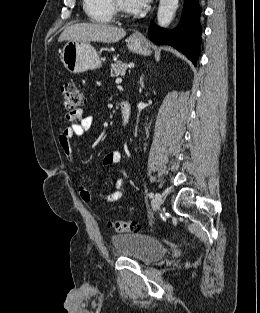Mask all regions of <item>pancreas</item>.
I'll list each match as a JSON object with an SVG mask.
<instances>
[{"mask_svg":"<svg viewBox=\"0 0 260 313\" xmlns=\"http://www.w3.org/2000/svg\"><path fill=\"white\" fill-rule=\"evenodd\" d=\"M128 68L127 63H123L121 61H117L112 65L111 73L113 76H123L125 75L126 69Z\"/></svg>","mask_w":260,"mask_h":313,"instance_id":"1","label":"pancreas"}]
</instances>
